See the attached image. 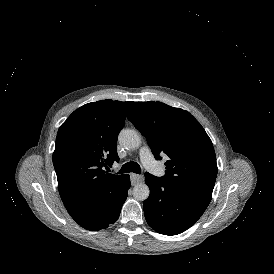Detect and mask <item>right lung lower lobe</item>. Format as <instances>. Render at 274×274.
<instances>
[{"label":"right lung lower lobe","mask_w":274,"mask_h":274,"mask_svg":"<svg viewBox=\"0 0 274 274\" xmlns=\"http://www.w3.org/2000/svg\"><path fill=\"white\" fill-rule=\"evenodd\" d=\"M130 187V177L124 178L114 187L107 190L100 202L91 210L72 216L83 228L89 230H100L113 224L119 217L123 203L127 198Z\"/></svg>","instance_id":"98d812e1"}]
</instances>
